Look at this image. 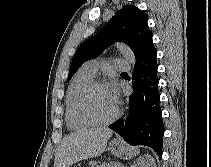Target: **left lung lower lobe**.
Returning a JSON list of instances; mask_svg holds the SVG:
<instances>
[{
	"label": "left lung lower lobe",
	"instance_id": "1",
	"mask_svg": "<svg viewBox=\"0 0 211 167\" xmlns=\"http://www.w3.org/2000/svg\"><path fill=\"white\" fill-rule=\"evenodd\" d=\"M157 51L154 49L136 64L133 72L134 93L130 96L131 108L126 121L119 119L109 127L130 145H146L161 157L164 125L158 92Z\"/></svg>",
	"mask_w": 211,
	"mask_h": 167
}]
</instances>
